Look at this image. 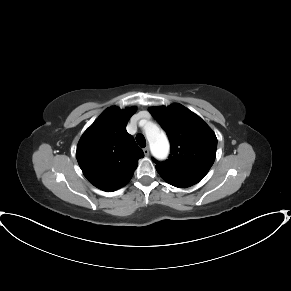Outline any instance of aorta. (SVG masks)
Segmentation results:
<instances>
[{"label": "aorta", "mask_w": 291, "mask_h": 291, "mask_svg": "<svg viewBox=\"0 0 291 291\" xmlns=\"http://www.w3.org/2000/svg\"><path fill=\"white\" fill-rule=\"evenodd\" d=\"M144 132L154 156L161 159L165 158L169 152V141L163 130L152 122H146Z\"/></svg>", "instance_id": "762f6f07"}]
</instances>
